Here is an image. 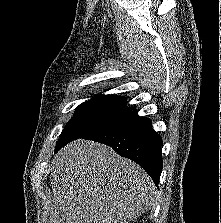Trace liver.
Segmentation results:
<instances>
[{
	"mask_svg": "<svg viewBox=\"0 0 221 223\" xmlns=\"http://www.w3.org/2000/svg\"><path fill=\"white\" fill-rule=\"evenodd\" d=\"M50 181L48 223H129L149 210L157 195L140 166L84 139L54 156Z\"/></svg>",
	"mask_w": 221,
	"mask_h": 223,
	"instance_id": "6515ba94",
	"label": "liver"
}]
</instances>
